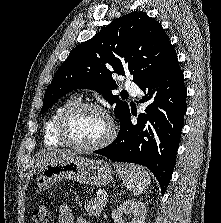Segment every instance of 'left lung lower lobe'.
I'll return each instance as SVG.
<instances>
[{"label": "left lung lower lobe", "mask_w": 221, "mask_h": 223, "mask_svg": "<svg viewBox=\"0 0 221 223\" xmlns=\"http://www.w3.org/2000/svg\"><path fill=\"white\" fill-rule=\"evenodd\" d=\"M139 87L146 94L142 102L150 103L145 113L133 124L129 109L120 120L117 138L94 153L114 162L146 166L157 178L164 194L176 164L187 110L184 76L172 45L159 66Z\"/></svg>", "instance_id": "1"}]
</instances>
